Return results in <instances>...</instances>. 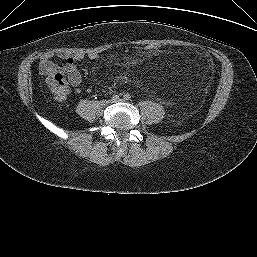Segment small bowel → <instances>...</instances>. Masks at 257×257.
Listing matches in <instances>:
<instances>
[{"instance_id": "1", "label": "small bowel", "mask_w": 257, "mask_h": 257, "mask_svg": "<svg viewBox=\"0 0 257 257\" xmlns=\"http://www.w3.org/2000/svg\"><path fill=\"white\" fill-rule=\"evenodd\" d=\"M83 57V54L64 57V64L62 66L54 64L50 61L49 57H44L40 62V72L44 75L48 70H59L67 75L69 84L76 88L82 81V75L78 69L77 63L82 60ZM89 58L95 59L96 54H90Z\"/></svg>"}]
</instances>
